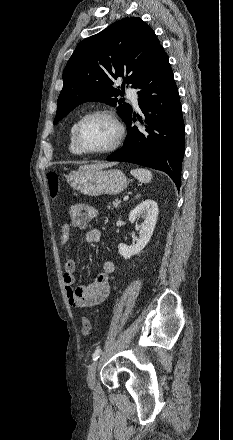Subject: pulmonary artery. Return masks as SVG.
Segmentation results:
<instances>
[{
  "instance_id": "obj_1",
  "label": "pulmonary artery",
  "mask_w": 233,
  "mask_h": 440,
  "mask_svg": "<svg viewBox=\"0 0 233 440\" xmlns=\"http://www.w3.org/2000/svg\"><path fill=\"white\" fill-rule=\"evenodd\" d=\"M127 96L132 100V102L134 103L135 106H137V91L133 88H129L127 90Z\"/></svg>"
}]
</instances>
